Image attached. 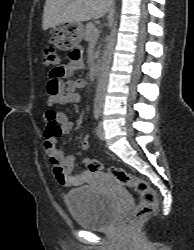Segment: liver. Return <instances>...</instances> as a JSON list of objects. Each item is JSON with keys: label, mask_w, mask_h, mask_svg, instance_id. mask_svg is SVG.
<instances>
[{"label": "liver", "mask_w": 194, "mask_h": 250, "mask_svg": "<svg viewBox=\"0 0 194 250\" xmlns=\"http://www.w3.org/2000/svg\"><path fill=\"white\" fill-rule=\"evenodd\" d=\"M111 3L112 0H46L42 28L99 19L108 12Z\"/></svg>", "instance_id": "6515ba94"}]
</instances>
